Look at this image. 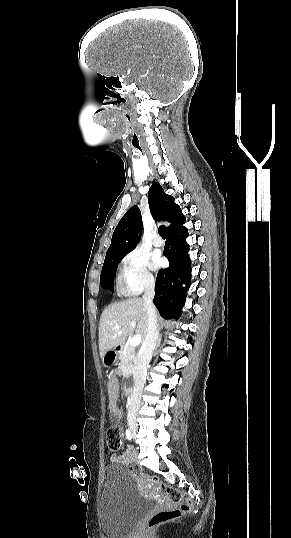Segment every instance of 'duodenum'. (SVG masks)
<instances>
[{
	"mask_svg": "<svg viewBox=\"0 0 291 538\" xmlns=\"http://www.w3.org/2000/svg\"><path fill=\"white\" fill-rule=\"evenodd\" d=\"M120 352V348H117L116 350H111L108 352V354L113 357V358H116L117 357V354ZM123 377H124V383H123V386H124V391H123V394L125 397L127 398H130L134 395V383H133V378L130 376V373L128 372H125L123 374Z\"/></svg>",
	"mask_w": 291,
	"mask_h": 538,
	"instance_id": "duodenum-1",
	"label": "duodenum"
}]
</instances>
